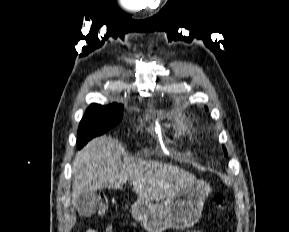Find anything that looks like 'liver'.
Returning <instances> with one entry per match:
<instances>
[{
	"instance_id": "1",
	"label": "liver",
	"mask_w": 289,
	"mask_h": 232,
	"mask_svg": "<svg viewBox=\"0 0 289 232\" xmlns=\"http://www.w3.org/2000/svg\"><path fill=\"white\" fill-rule=\"evenodd\" d=\"M121 143L107 136L91 140L72 164V204L81 195L91 196L103 187L121 189L130 181L134 192L149 201H162L195 182V176L158 161L126 160Z\"/></svg>"
}]
</instances>
